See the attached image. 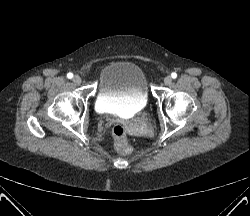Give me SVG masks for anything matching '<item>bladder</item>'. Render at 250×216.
Returning a JSON list of instances; mask_svg holds the SVG:
<instances>
[{
  "instance_id": "1",
  "label": "bladder",
  "mask_w": 250,
  "mask_h": 216,
  "mask_svg": "<svg viewBox=\"0 0 250 216\" xmlns=\"http://www.w3.org/2000/svg\"><path fill=\"white\" fill-rule=\"evenodd\" d=\"M147 102L148 86L140 67L131 62L117 61L102 69L95 102L100 112L135 114Z\"/></svg>"
}]
</instances>
